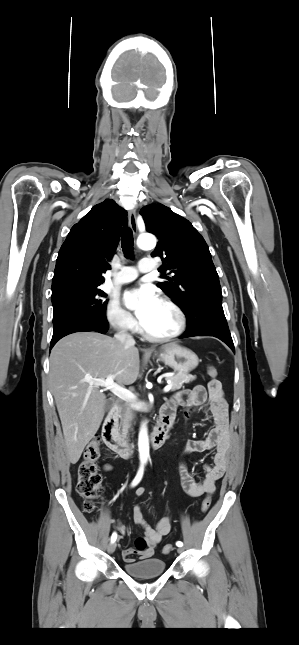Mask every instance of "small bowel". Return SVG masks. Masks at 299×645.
<instances>
[{"label": "small bowel", "mask_w": 299, "mask_h": 645, "mask_svg": "<svg viewBox=\"0 0 299 645\" xmlns=\"http://www.w3.org/2000/svg\"><path fill=\"white\" fill-rule=\"evenodd\" d=\"M177 406L185 408L186 418L190 417L194 410L202 408H205L212 416L213 427L208 436L201 440H189L185 446V452L187 453L215 449L213 463L204 465L203 479L196 480L185 463H181L179 466L181 483L187 494L193 497L203 494L211 495L216 489L217 481L223 477L226 471L231 445L228 407L223 392L221 389L214 391L210 388L206 391L202 385H197L190 390L179 392L175 399L166 405L173 419ZM111 469L112 466L109 464L104 466L105 471H110ZM135 493L137 497H142L145 490L144 488H138ZM132 518L144 530L146 547L142 551L137 550V548L123 550V560L127 563L136 561V556L140 560L151 558L157 545L164 536L170 533L172 528V519L169 516L161 518L155 528L151 527L144 519L140 505L133 507ZM118 531L120 538H122L126 533V527L119 523Z\"/></svg>", "instance_id": "c3829d8e"}]
</instances>
